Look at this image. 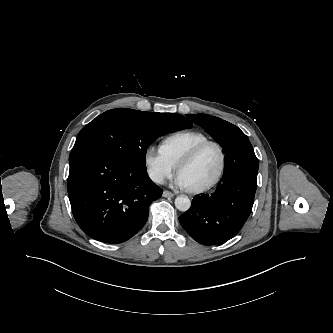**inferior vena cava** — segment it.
<instances>
[{"label":"inferior vena cava","instance_id":"1","mask_svg":"<svg viewBox=\"0 0 333 333\" xmlns=\"http://www.w3.org/2000/svg\"><path fill=\"white\" fill-rule=\"evenodd\" d=\"M152 180L156 183L162 184L164 181V178L162 176L159 175H152Z\"/></svg>","mask_w":333,"mask_h":333}]
</instances>
